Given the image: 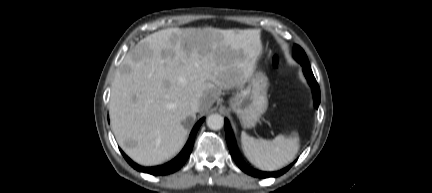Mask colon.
<instances>
[{
    "label": "colon",
    "instance_id": "colon-1",
    "mask_svg": "<svg viewBox=\"0 0 432 193\" xmlns=\"http://www.w3.org/2000/svg\"><path fill=\"white\" fill-rule=\"evenodd\" d=\"M279 64H280V59H279L278 57H275V58H274V65H275L276 67H278Z\"/></svg>",
    "mask_w": 432,
    "mask_h": 193
}]
</instances>
